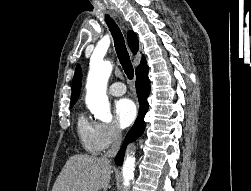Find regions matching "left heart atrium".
Returning a JSON list of instances; mask_svg holds the SVG:
<instances>
[{"instance_id":"left-heart-atrium-1","label":"left heart atrium","mask_w":251,"mask_h":191,"mask_svg":"<svg viewBox=\"0 0 251 191\" xmlns=\"http://www.w3.org/2000/svg\"><path fill=\"white\" fill-rule=\"evenodd\" d=\"M114 112L117 126L126 128L135 120L137 108L132 100L124 98L116 102Z\"/></svg>"}]
</instances>
